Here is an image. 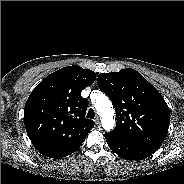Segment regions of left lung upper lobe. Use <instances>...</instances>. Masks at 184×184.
Returning a JSON list of instances; mask_svg holds the SVG:
<instances>
[{"instance_id":"obj_1","label":"left lung upper lobe","mask_w":184,"mask_h":184,"mask_svg":"<svg viewBox=\"0 0 184 184\" xmlns=\"http://www.w3.org/2000/svg\"><path fill=\"white\" fill-rule=\"evenodd\" d=\"M97 84L116 110V127L110 133L156 152L170 124L169 107L158 90L131 68L101 73Z\"/></svg>"}]
</instances>
